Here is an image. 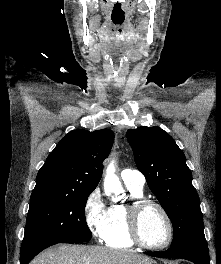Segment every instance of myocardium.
<instances>
[{
  "instance_id": "obj_1",
  "label": "myocardium",
  "mask_w": 221,
  "mask_h": 264,
  "mask_svg": "<svg viewBox=\"0 0 221 264\" xmlns=\"http://www.w3.org/2000/svg\"><path fill=\"white\" fill-rule=\"evenodd\" d=\"M148 206H153L157 208L161 212V214L163 215L167 223L168 237H167V240L161 245H150L146 243L141 237L140 217H141L142 211ZM125 213H126V223H127L128 234L134 244L142 248L148 249V250L158 251V250H163L167 248L172 243L173 238H174L173 222L167 210L160 203L154 200L145 198V197L132 199L126 205Z\"/></svg>"
}]
</instances>
